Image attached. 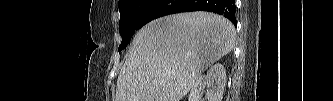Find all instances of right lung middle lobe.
I'll use <instances>...</instances> for the list:
<instances>
[{
    "label": "right lung middle lobe",
    "mask_w": 333,
    "mask_h": 101,
    "mask_svg": "<svg viewBox=\"0 0 333 101\" xmlns=\"http://www.w3.org/2000/svg\"><path fill=\"white\" fill-rule=\"evenodd\" d=\"M154 0H120L119 11V32L122 42L119 46V52L124 49L130 42L134 32L138 30L139 22L147 8Z\"/></svg>",
    "instance_id": "right-lung-middle-lobe-1"
}]
</instances>
